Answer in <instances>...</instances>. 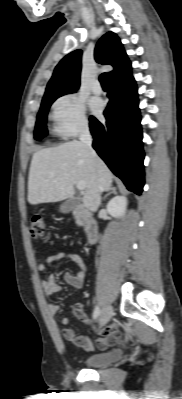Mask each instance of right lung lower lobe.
Returning a JSON list of instances; mask_svg holds the SVG:
<instances>
[{
  "instance_id": "obj_1",
  "label": "right lung lower lobe",
  "mask_w": 182,
  "mask_h": 399,
  "mask_svg": "<svg viewBox=\"0 0 182 399\" xmlns=\"http://www.w3.org/2000/svg\"><path fill=\"white\" fill-rule=\"evenodd\" d=\"M105 123L90 117L93 148L129 191L141 194L144 186V152L138 94L131 73L112 80Z\"/></svg>"
}]
</instances>
